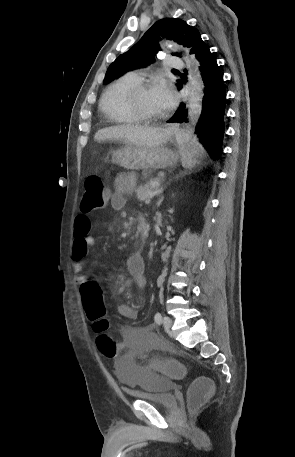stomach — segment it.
<instances>
[{"label": "stomach", "mask_w": 295, "mask_h": 457, "mask_svg": "<svg viewBox=\"0 0 295 457\" xmlns=\"http://www.w3.org/2000/svg\"><path fill=\"white\" fill-rule=\"evenodd\" d=\"M164 143L153 147H137L125 145L111 151L112 163L127 169L156 170L172 166L178 155L171 151L166 144L174 143L177 131L167 128ZM177 140V139H176Z\"/></svg>", "instance_id": "obj_1"}]
</instances>
